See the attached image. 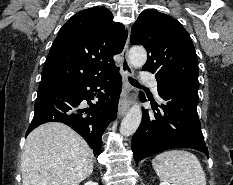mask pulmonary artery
<instances>
[{
	"instance_id": "pulmonary-artery-1",
	"label": "pulmonary artery",
	"mask_w": 233,
	"mask_h": 185,
	"mask_svg": "<svg viewBox=\"0 0 233 185\" xmlns=\"http://www.w3.org/2000/svg\"><path fill=\"white\" fill-rule=\"evenodd\" d=\"M142 80L147 82L151 86L153 92L156 95L158 94V83H157L156 78L153 75L144 73L142 74Z\"/></svg>"
}]
</instances>
